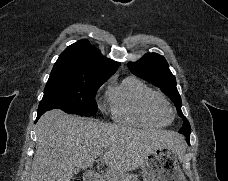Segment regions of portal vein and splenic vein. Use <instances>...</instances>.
<instances>
[{
    "instance_id": "18ae733b",
    "label": "portal vein and splenic vein",
    "mask_w": 228,
    "mask_h": 181,
    "mask_svg": "<svg viewBox=\"0 0 228 181\" xmlns=\"http://www.w3.org/2000/svg\"><path fill=\"white\" fill-rule=\"evenodd\" d=\"M105 151H107V149H102V151H99V153H96V159H97V157H101V155H103V153H105Z\"/></svg>"
}]
</instances>
